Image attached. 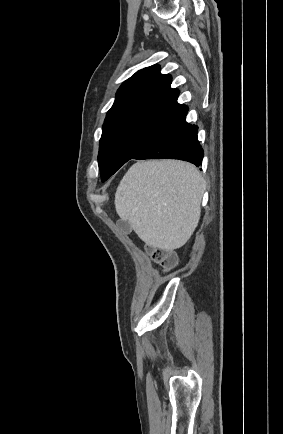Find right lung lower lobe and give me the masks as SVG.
Returning <instances> with one entry per match:
<instances>
[{
  "mask_svg": "<svg viewBox=\"0 0 283 434\" xmlns=\"http://www.w3.org/2000/svg\"><path fill=\"white\" fill-rule=\"evenodd\" d=\"M197 133L198 127L187 123L184 116L151 140L133 159H180L199 166L204 151Z\"/></svg>",
  "mask_w": 283,
  "mask_h": 434,
  "instance_id": "right-lung-lower-lobe-1",
  "label": "right lung lower lobe"
}]
</instances>
